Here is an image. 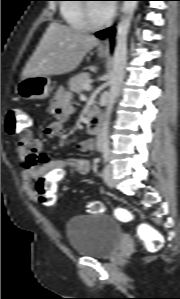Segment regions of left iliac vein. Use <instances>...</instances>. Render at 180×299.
<instances>
[{
    "label": "left iliac vein",
    "mask_w": 180,
    "mask_h": 299,
    "mask_svg": "<svg viewBox=\"0 0 180 299\" xmlns=\"http://www.w3.org/2000/svg\"><path fill=\"white\" fill-rule=\"evenodd\" d=\"M103 180L109 187H113L115 185V181L113 179L112 167L109 164H107L104 168Z\"/></svg>",
    "instance_id": "left-iliac-vein-1"
}]
</instances>
